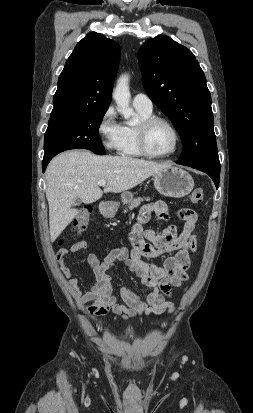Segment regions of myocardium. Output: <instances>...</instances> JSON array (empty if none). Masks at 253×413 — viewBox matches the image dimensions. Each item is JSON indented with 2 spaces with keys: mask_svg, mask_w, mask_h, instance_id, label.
<instances>
[{
  "mask_svg": "<svg viewBox=\"0 0 253 413\" xmlns=\"http://www.w3.org/2000/svg\"><path fill=\"white\" fill-rule=\"evenodd\" d=\"M158 122L166 124L171 129L174 135V145L172 149L167 153H162V154L154 153L153 151H151L148 145V131L152 125ZM136 133H137L138 147L141 153L147 157H151V158L169 157L178 150L179 145H180V134H179L178 129L176 128V126L171 120H169L168 118L162 117V116L151 115L149 117L141 119L138 125L136 126Z\"/></svg>",
  "mask_w": 253,
  "mask_h": 413,
  "instance_id": "myocardium-1",
  "label": "myocardium"
}]
</instances>
